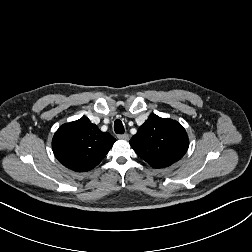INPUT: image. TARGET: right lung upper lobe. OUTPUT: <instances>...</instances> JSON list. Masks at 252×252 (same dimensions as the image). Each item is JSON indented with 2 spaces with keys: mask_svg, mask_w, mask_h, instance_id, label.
<instances>
[{
  "mask_svg": "<svg viewBox=\"0 0 252 252\" xmlns=\"http://www.w3.org/2000/svg\"><path fill=\"white\" fill-rule=\"evenodd\" d=\"M115 141L108 132H101L88 118L83 117L62 125L56 131L52 149L61 164L83 172L97 166Z\"/></svg>",
  "mask_w": 252,
  "mask_h": 252,
  "instance_id": "cb5924a9",
  "label": "right lung upper lobe"
}]
</instances>
